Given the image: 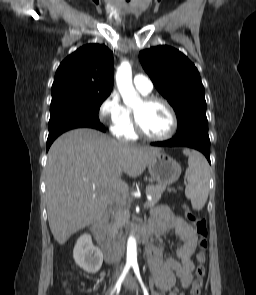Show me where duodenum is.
<instances>
[{
    "instance_id": "obj_1",
    "label": "duodenum",
    "mask_w": 256,
    "mask_h": 295,
    "mask_svg": "<svg viewBox=\"0 0 256 295\" xmlns=\"http://www.w3.org/2000/svg\"><path fill=\"white\" fill-rule=\"evenodd\" d=\"M105 218H101L94 223L90 229V233L95 241L101 246L106 262H115L122 257V252L116 249L109 241L104 237ZM138 235L142 241L147 240L150 233L149 228L139 227L137 228Z\"/></svg>"
}]
</instances>
